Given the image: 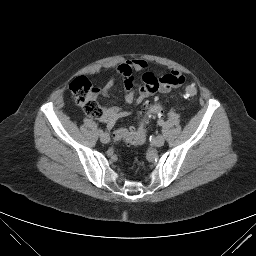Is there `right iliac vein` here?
<instances>
[{
    "label": "right iliac vein",
    "instance_id": "1",
    "mask_svg": "<svg viewBox=\"0 0 256 256\" xmlns=\"http://www.w3.org/2000/svg\"><path fill=\"white\" fill-rule=\"evenodd\" d=\"M100 140H101L102 143H108L110 141V137L107 133H103L100 136Z\"/></svg>",
    "mask_w": 256,
    "mask_h": 256
}]
</instances>
